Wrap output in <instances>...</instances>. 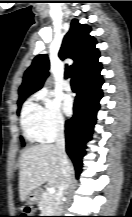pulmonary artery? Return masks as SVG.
I'll list each match as a JSON object with an SVG mask.
<instances>
[{
    "instance_id": "pulmonary-artery-1",
    "label": "pulmonary artery",
    "mask_w": 132,
    "mask_h": 217,
    "mask_svg": "<svg viewBox=\"0 0 132 217\" xmlns=\"http://www.w3.org/2000/svg\"><path fill=\"white\" fill-rule=\"evenodd\" d=\"M63 88L65 91H71V85L68 81H65L63 84Z\"/></svg>"
}]
</instances>
